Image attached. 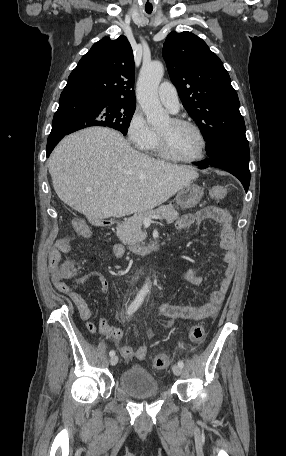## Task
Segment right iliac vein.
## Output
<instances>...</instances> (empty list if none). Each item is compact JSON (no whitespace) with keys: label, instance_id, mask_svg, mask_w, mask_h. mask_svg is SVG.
Returning <instances> with one entry per match:
<instances>
[{"label":"right iliac vein","instance_id":"63e3f726","mask_svg":"<svg viewBox=\"0 0 286 456\" xmlns=\"http://www.w3.org/2000/svg\"><path fill=\"white\" fill-rule=\"evenodd\" d=\"M117 362H118V356H116V355L112 356L110 359V364L112 366H115L117 364Z\"/></svg>","mask_w":286,"mask_h":456}]
</instances>
